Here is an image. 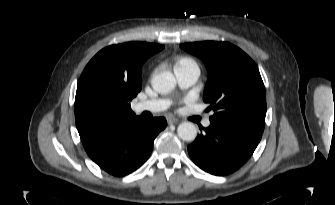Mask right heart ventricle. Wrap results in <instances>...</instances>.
<instances>
[{
    "label": "right heart ventricle",
    "instance_id": "right-heart-ventricle-1",
    "mask_svg": "<svg viewBox=\"0 0 335 205\" xmlns=\"http://www.w3.org/2000/svg\"><path fill=\"white\" fill-rule=\"evenodd\" d=\"M188 64H195V62L190 58H181L176 63V66L188 65Z\"/></svg>",
    "mask_w": 335,
    "mask_h": 205
}]
</instances>
